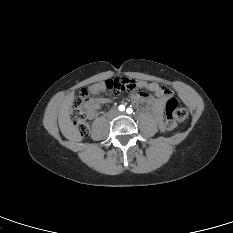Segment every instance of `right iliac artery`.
<instances>
[{"mask_svg": "<svg viewBox=\"0 0 233 233\" xmlns=\"http://www.w3.org/2000/svg\"><path fill=\"white\" fill-rule=\"evenodd\" d=\"M118 109H119L120 111H124V110H125V106H124V105H120V106L118 107Z\"/></svg>", "mask_w": 233, "mask_h": 233, "instance_id": "obj_1", "label": "right iliac artery"}]
</instances>
